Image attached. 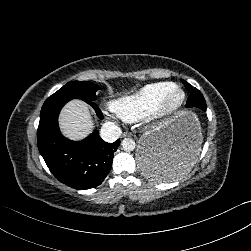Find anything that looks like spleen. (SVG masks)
Segmentation results:
<instances>
[{"instance_id": "obj_1", "label": "spleen", "mask_w": 251, "mask_h": 251, "mask_svg": "<svg viewBox=\"0 0 251 251\" xmlns=\"http://www.w3.org/2000/svg\"><path fill=\"white\" fill-rule=\"evenodd\" d=\"M196 161V158L194 160H184L181 161L178 167V170L174 172H170V170L167 167H164L158 163H150L149 164V176L150 179H158V180H176L183 176L185 173H188L193 163Z\"/></svg>"}]
</instances>
